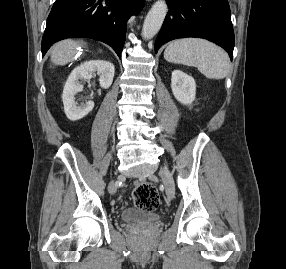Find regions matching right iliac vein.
<instances>
[{"label": "right iliac vein", "mask_w": 286, "mask_h": 269, "mask_svg": "<svg viewBox=\"0 0 286 269\" xmlns=\"http://www.w3.org/2000/svg\"><path fill=\"white\" fill-rule=\"evenodd\" d=\"M108 189H109V192H110L111 194H113V193L115 192V185H114V182H113V181L109 184Z\"/></svg>", "instance_id": "right-iliac-vein-1"}]
</instances>
